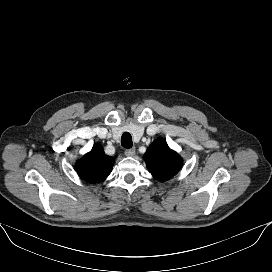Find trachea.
I'll use <instances>...</instances> for the list:
<instances>
[{
    "label": "trachea",
    "instance_id": "3493384b",
    "mask_svg": "<svg viewBox=\"0 0 272 272\" xmlns=\"http://www.w3.org/2000/svg\"><path fill=\"white\" fill-rule=\"evenodd\" d=\"M121 145L127 149H130L132 147L133 143H132V136L130 133L124 132L122 134Z\"/></svg>",
    "mask_w": 272,
    "mask_h": 272
}]
</instances>
